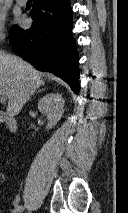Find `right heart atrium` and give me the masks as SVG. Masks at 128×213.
<instances>
[{
    "mask_svg": "<svg viewBox=\"0 0 128 213\" xmlns=\"http://www.w3.org/2000/svg\"><path fill=\"white\" fill-rule=\"evenodd\" d=\"M7 18L5 13L0 9V41L4 40L6 36Z\"/></svg>",
    "mask_w": 128,
    "mask_h": 213,
    "instance_id": "1",
    "label": "right heart atrium"
}]
</instances>
